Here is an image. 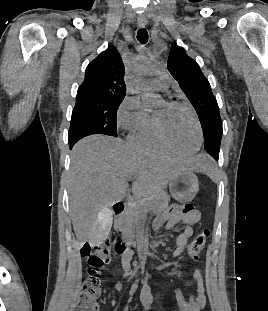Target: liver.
<instances>
[{
	"label": "liver",
	"instance_id": "1",
	"mask_svg": "<svg viewBox=\"0 0 268 311\" xmlns=\"http://www.w3.org/2000/svg\"><path fill=\"white\" fill-rule=\"evenodd\" d=\"M208 167L203 155L184 160L138 150L111 136L83 138L71 152L68 188L79 247L96 235L107 208L126 197L130 178L135 179L133 195L143 198L160 193L182 171L205 172Z\"/></svg>",
	"mask_w": 268,
	"mask_h": 311
}]
</instances>
